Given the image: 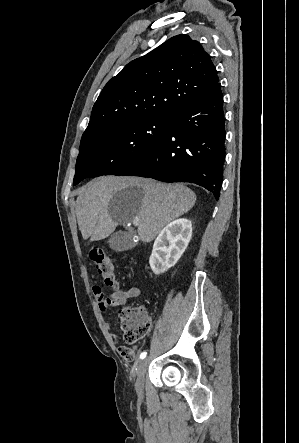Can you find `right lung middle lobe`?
I'll list each match as a JSON object with an SVG mask.
<instances>
[{"label":"right lung middle lobe","instance_id":"obj_1","mask_svg":"<svg viewBox=\"0 0 299 443\" xmlns=\"http://www.w3.org/2000/svg\"><path fill=\"white\" fill-rule=\"evenodd\" d=\"M169 130L168 116L140 118L82 138L73 184L88 177L114 175L148 154Z\"/></svg>","mask_w":299,"mask_h":443}]
</instances>
